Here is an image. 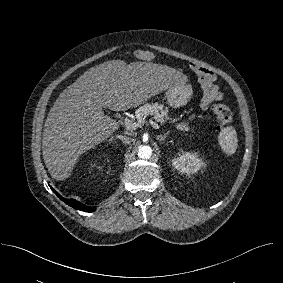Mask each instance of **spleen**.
<instances>
[{
	"label": "spleen",
	"mask_w": 283,
	"mask_h": 283,
	"mask_svg": "<svg viewBox=\"0 0 283 283\" xmlns=\"http://www.w3.org/2000/svg\"><path fill=\"white\" fill-rule=\"evenodd\" d=\"M218 142L223 152L227 155L234 154L238 145L235 128L233 126L223 128L218 136Z\"/></svg>",
	"instance_id": "3e777b00"
}]
</instances>
